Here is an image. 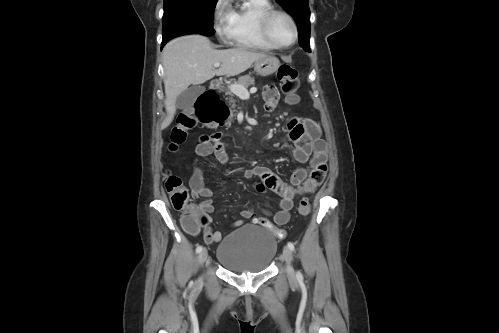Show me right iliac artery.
<instances>
[{
	"instance_id": "right-iliac-artery-1",
	"label": "right iliac artery",
	"mask_w": 499,
	"mask_h": 333,
	"mask_svg": "<svg viewBox=\"0 0 499 333\" xmlns=\"http://www.w3.org/2000/svg\"><path fill=\"white\" fill-rule=\"evenodd\" d=\"M201 251H202V246H200V245H199V246L196 248V252H197V253H200Z\"/></svg>"
}]
</instances>
